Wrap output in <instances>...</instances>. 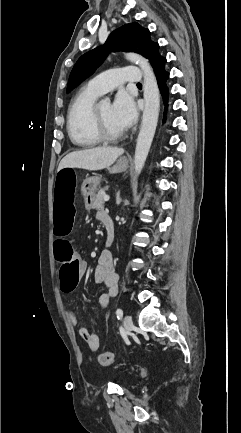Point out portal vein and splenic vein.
<instances>
[{
	"mask_svg": "<svg viewBox=\"0 0 241 433\" xmlns=\"http://www.w3.org/2000/svg\"><path fill=\"white\" fill-rule=\"evenodd\" d=\"M109 199H110L109 195H105V196H104V201H105V202H108Z\"/></svg>",
	"mask_w": 241,
	"mask_h": 433,
	"instance_id": "1",
	"label": "portal vein and splenic vein"
}]
</instances>
